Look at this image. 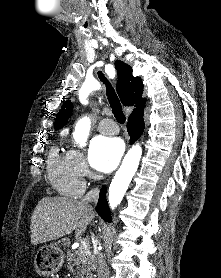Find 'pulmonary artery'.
I'll use <instances>...</instances> for the list:
<instances>
[{"mask_svg":"<svg viewBox=\"0 0 221 278\" xmlns=\"http://www.w3.org/2000/svg\"><path fill=\"white\" fill-rule=\"evenodd\" d=\"M99 130L107 135H113L117 134L119 129L118 127L114 124V122L110 119H105L101 121L99 125Z\"/></svg>","mask_w":221,"mask_h":278,"instance_id":"pulmonary-artery-1","label":"pulmonary artery"}]
</instances>
